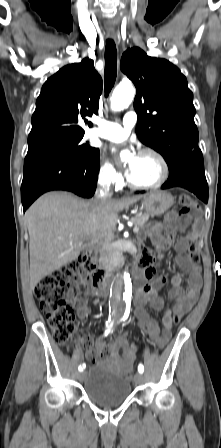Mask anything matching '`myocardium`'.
I'll return each mask as SVG.
<instances>
[{
    "mask_svg": "<svg viewBox=\"0 0 221 448\" xmlns=\"http://www.w3.org/2000/svg\"><path fill=\"white\" fill-rule=\"evenodd\" d=\"M142 155H150L153 156L159 163L161 169H162V175L161 177L154 183L151 184H141V183H137L134 180H132L130 177L127 178V181L129 183V185L133 188H137V189H154V188H158L160 186H162L169 178L170 176V165L166 159V157L159 152L156 149L153 148H144L141 149L138 153V156H142Z\"/></svg>",
    "mask_w": 221,
    "mask_h": 448,
    "instance_id": "myocardium-1",
    "label": "myocardium"
}]
</instances>
